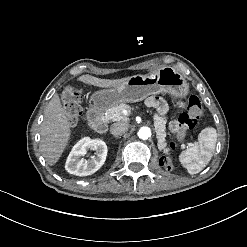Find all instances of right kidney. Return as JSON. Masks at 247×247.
<instances>
[{
  "instance_id": "1",
  "label": "right kidney",
  "mask_w": 247,
  "mask_h": 247,
  "mask_svg": "<svg viewBox=\"0 0 247 247\" xmlns=\"http://www.w3.org/2000/svg\"><path fill=\"white\" fill-rule=\"evenodd\" d=\"M89 149L94 150L95 155L90 160H84L81 157L85 156ZM107 152V145L104 141L84 137L73 146L66 160L65 169L77 176L91 175L104 164Z\"/></svg>"
}]
</instances>
